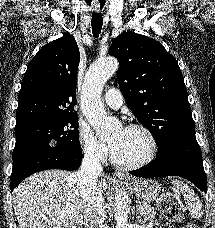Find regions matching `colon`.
<instances>
[{"label":"colon","mask_w":215,"mask_h":228,"mask_svg":"<svg viewBox=\"0 0 215 228\" xmlns=\"http://www.w3.org/2000/svg\"><path fill=\"white\" fill-rule=\"evenodd\" d=\"M158 208L166 219L161 224V228H176L177 224L183 219L181 209L170 196H162ZM186 228H199V225H186Z\"/></svg>","instance_id":"obj_1"}]
</instances>
